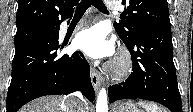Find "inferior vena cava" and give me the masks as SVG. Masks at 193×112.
Segmentation results:
<instances>
[{
	"instance_id": "inferior-vena-cava-1",
	"label": "inferior vena cava",
	"mask_w": 193,
	"mask_h": 112,
	"mask_svg": "<svg viewBox=\"0 0 193 112\" xmlns=\"http://www.w3.org/2000/svg\"><path fill=\"white\" fill-rule=\"evenodd\" d=\"M69 100H71L69 106L70 112H86L83 100L75 97H72Z\"/></svg>"
}]
</instances>
